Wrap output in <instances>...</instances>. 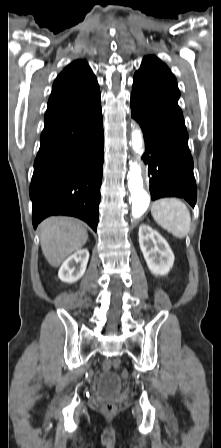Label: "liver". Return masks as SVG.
<instances>
[{"label": "liver", "instance_id": "6515ba94", "mask_svg": "<svg viewBox=\"0 0 221 448\" xmlns=\"http://www.w3.org/2000/svg\"><path fill=\"white\" fill-rule=\"evenodd\" d=\"M42 252L53 267L80 250L88 239L83 224L69 217H49L39 226Z\"/></svg>", "mask_w": 221, "mask_h": 448}]
</instances>
